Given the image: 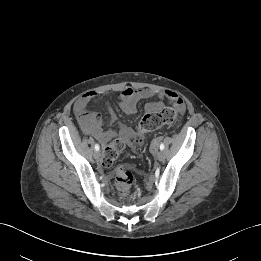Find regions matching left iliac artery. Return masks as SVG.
Masks as SVG:
<instances>
[{"mask_svg":"<svg viewBox=\"0 0 261 261\" xmlns=\"http://www.w3.org/2000/svg\"><path fill=\"white\" fill-rule=\"evenodd\" d=\"M165 146L163 143L160 144V150H164Z\"/></svg>","mask_w":261,"mask_h":261,"instance_id":"44dca946","label":"left iliac artery"}]
</instances>
